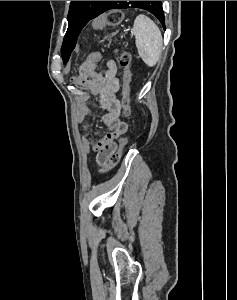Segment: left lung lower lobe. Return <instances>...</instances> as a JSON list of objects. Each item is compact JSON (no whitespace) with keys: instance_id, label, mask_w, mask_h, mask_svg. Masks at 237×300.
<instances>
[{"instance_id":"0a47b994","label":"left lung lower lobe","mask_w":237,"mask_h":300,"mask_svg":"<svg viewBox=\"0 0 237 300\" xmlns=\"http://www.w3.org/2000/svg\"><path fill=\"white\" fill-rule=\"evenodd\" d=\"M111 9H120V1H110L104 8L103 13ZM160 12L163 13L162 5L160 4Z\"/></svg>"}]
</instances>
